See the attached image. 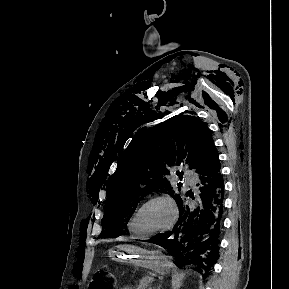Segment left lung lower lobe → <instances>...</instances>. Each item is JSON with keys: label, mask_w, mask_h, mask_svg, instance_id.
<instances>
[{"label": "left lung lower lobe", "mask_w": 289, "mask_h": 289, "mask_svg": "<svg viewBox=\"0 0 289 289\" xmlns=\"http://www.w3.org/2000/svg\"><path fill=\"white\" fill-rule=\"evenodd\" d=\"M198 192H188L189 205L181 196L176 200L179 219L171 232L149 242L166 248L181 263L197 265L204 278L209 275L218 254V233L223 210V177L215 149L206 163L196 171Z\"/></svg>", "instance_id": "left-lung-lower-lobe-1"}]
</instances>
